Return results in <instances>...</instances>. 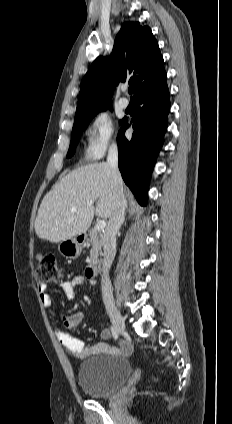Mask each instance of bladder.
Instances as JSON below:
<instances>
[{
  "label": "bladder",
  "mask_w": 232,
  "mask_h": 424,
  "mask_svg": "<svg viewBox=\"0 0 232 424\" xmlns=\"http://www.w3.org/2000/svg\"><path fill=\"white\" fill-rule=\"evenodd\" d=\"M129 361L122 357L98 355L79 365L77 381L92 398H106L116 393L131 375Z\"/></svg>",
  "instance_id": "bladder-1"
}]
</instances>
